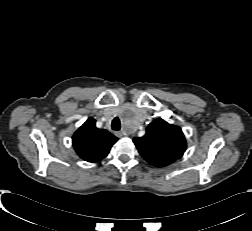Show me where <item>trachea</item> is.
<instances>
[{
    "instance_id": "3493384b",
    "label": "trachea",
    "mask_w": 252,
    "mask_h": 231,
    "mask_svg": "<svg viewBox=\"0 0 252 231\" xmlns=\"http://www.w3.org/2000/svg\"><path fill=\"white\" fill-rule=\"evenodd\" d=\"M113 130H120L121 128V123L118 117H115L112 121V125H111Z\"/></svg>"
}]
</instances>
